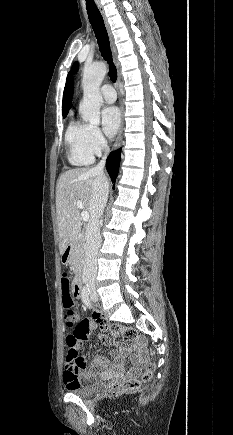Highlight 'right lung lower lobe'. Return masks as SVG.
<instances>
[{"instance_id":"obj_1","label":"right lung lower lobe","mask_w":233,"mask_h":435,"mask_svg":"<svg viewBox=\"0 0 233 435\" xmlns=\"http://www.w3.org/2000/svg\"><path fill=\"white\" fill-rule=\"evenodd\" d=\"M120 157H121V149H118L108 156L106 160V169L107 172L112 179L113 182L116 181V177L119 170V164H120ZM114 188V186H113Z\"/></svg>"}]
</instances>
